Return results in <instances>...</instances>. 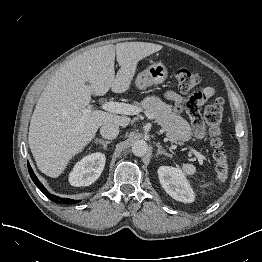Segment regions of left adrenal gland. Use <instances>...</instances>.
<instances>
[{
	"instance_id": "a2214340",
	"label": "left adrenal gland",
	"mask_w": 262,
	"mask_h": 262,
	"mask_svg": "<svg viewBox=\"0 0 262 262\" xmlns=\"http://www.w3.org/2000/svg\"><path fill=\"white\" fill-rule=\"evenodd\" d=\"M156 146L158 147V151H157L156 156H159V155L163 154V155H165V156L171 157V154L167 153V152L162 148V146L160 145V143H157Z\"/></svg>"
}]
</instances>
